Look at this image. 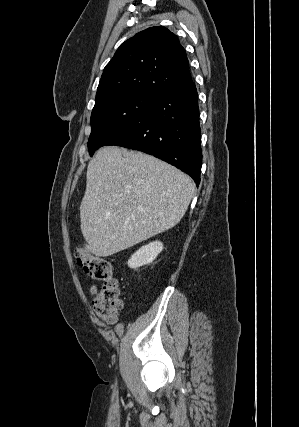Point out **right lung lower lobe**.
I'll return each instance as SVG.
<instances>
[{"mask_svg":"<svg viewBox=\"0 0 299 427\" xmlns=\"http://www.w3.org/2000/svg\"><path fill=\"white\" fill-rule=\"evenodd\" d=\"M106 145L143 151L190 175L198 186L202 166L198 95L195 84L165 91Z\"/></svg>","mask_w":299,"mask_h":427,"instance_id":"right-lung-lower-lobe-1","label":"right lung lower lobe"}]
</instances>
